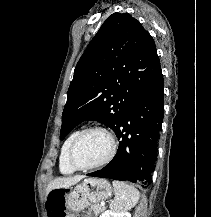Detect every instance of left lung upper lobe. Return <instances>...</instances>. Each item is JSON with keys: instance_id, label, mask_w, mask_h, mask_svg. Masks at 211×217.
Segmentation results:
<instances>
[{"instance_id": "obj_1", "label": "left lung upper lobe", "mask_w": 211, "mask_h": 217, "mask_svg": "<svg viewBox=\"0 0 211 217\" xmlns=\"http://www.w3.org/2000/svg\"><path fill=\"white\" fill-rule=\"evenodd\" d=\"M160 71L154 40L140 22L128 13L109 16L74 70L60 139L83 121H98L114 130Z\"/></svg>"}]
</instances>
